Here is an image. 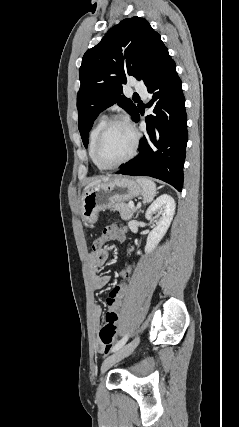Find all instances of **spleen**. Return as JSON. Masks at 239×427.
Here are the masks:
<instances>
[{
    "label": "spleen",
    "mask_w": 239,
    "mask_h": 427,
    "mask_svg": "<svg viewBox=\"0 0 239 427\" xmlns=\"http://www.w3.org/2000/svg\"><path fill=\"white\" fill-rule=\"evenodd\" d=\"M137 182L143 189L144 202H152L156 195V184L151 179L145 177H138Z\"/></svg>",
    "instance_id": "1"
}]
</instances>
